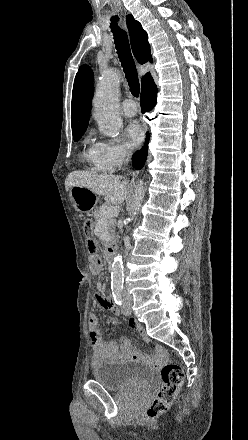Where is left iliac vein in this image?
I'll return each instance as SVG.
<instances>
[{
  "label": "left iliac vein",
  "mask_w": 248,
  "mask_h": 440,
  "mask_svg": "<svg viewBox=\"0 0 248 440\" xmlns=\"http://www.w3.org/2000/svg\"><path fill=\"white\" fill-rule=\"evenodd\" d=\"M131 305H132V299L130 297L126 298L121 308V311L124 315L131 314Z\"/></svg>",
  "instance_id": "obj_1"
}]
</instances>
